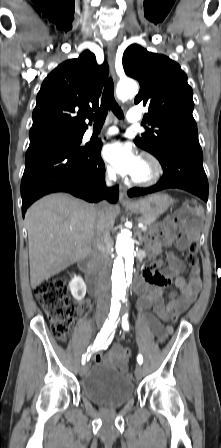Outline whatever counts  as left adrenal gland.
<instances>
[{
	"mask_svg": "<svg viewBox=\"0 0 221 448\" xmlns=\"http://www.w3.org/2000/svg\"><path fill=\"white\" fill-rule=\"evenodd\" d=\"M137 234H138V238H139V240H141V241H142V240H143V237H142V234H141V232H140V231H138V233H137Z\"/></svg>",
	"mask_w": 221,
	"mask_h": 448,
	"instance_id": "obj_1",
	"label": "left adrenal gland"
}]
</instances>
